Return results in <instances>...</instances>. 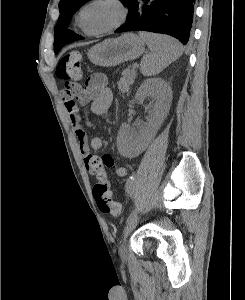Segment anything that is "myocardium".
I'll use <instances>...</instances> for the list:
<instances>
[{
	"mask_svg": "<svg viewBox=\"0 0 245 300\" xmlns=\"http://www.w3.org/2000/svg\"><path fill=\"white\" fill-rule=\"evenodd\" d=\"M100 3L110 4V5L114 6L118 11V18L113 24H111L110 26H108L106 28H103L100 30H95V31H90V30L86 29L85 26L83 25L84 12L89 7L96 5V4H100ZM128 15H129L128 8L126 7V5L124 4V2L122 0H89L78 11L77 25L79 26V28L82 31H84L88 35H94V36L103 35V34L109 33L111 31L119 28L127 20Z\"/></svg>",
	"mask_w": 245,
	"mask_h": 300,
	"instance_id": "obj_1",
	"label": "myocardium"
}]
</instances>
